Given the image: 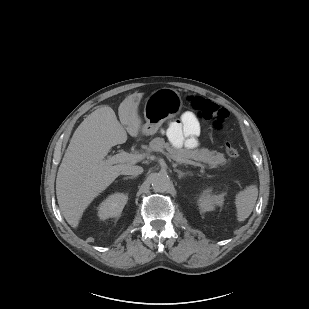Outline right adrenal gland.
<instances>
[{
    "mask_svg": "<svg viewBox=\"0 0 309 309\" xmlns=\"http://www.w3.org/2000/svg\"><path fill=\"white\" fill-rule=\"evenodd\" d=\"M135 176L124 177L123 180L134 179Z\"/></svg>",
    "mask_w": 309,
    "mask_h": 309,
    "instance_id": "2a0ac1e0",
    "label": "right adrenal gland"
}]
</instances>
